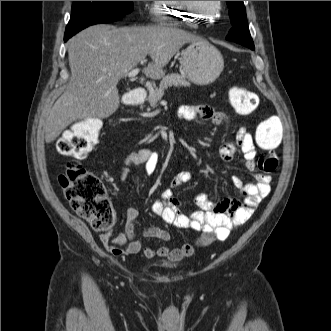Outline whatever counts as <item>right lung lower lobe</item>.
I'll use <instances>...</instances> for the list:
<instances>
[{"instance_id":"1","label":"right lung lower lobe","mask_w":331,"mask_h":331,"mask_svg":"<svg viewBox=\"0 0 331 331\" xmlns=\"http://www.w3.org/2000/svg\"><path fill=\"white\" fill-rule=\"evenodd\" d=\"M70 37L65 36L64 41H67Z\"/></svg>"}]
</instances>
